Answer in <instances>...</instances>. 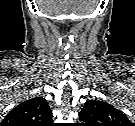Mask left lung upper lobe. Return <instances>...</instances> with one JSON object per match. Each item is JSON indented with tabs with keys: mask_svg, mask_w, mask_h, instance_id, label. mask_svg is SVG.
Here are the masks:
<instances>
[{
	"mask_svg": "<svg viewBox=\"0 0 135 126\" xmlns=\"http://www.w3.org/2000/svg\"><path fill=\"white\" fill-rule=\"evenodd\" d=\"M79 117L85 126H128L127 116L111 104L90 100L84 104Z\"/></svg>",
	"mask_w": 135,
	"mask_h": 126,
	"instance_id": "obj_1",
	"label": "left lung upper lobe"
}]
</instances>
